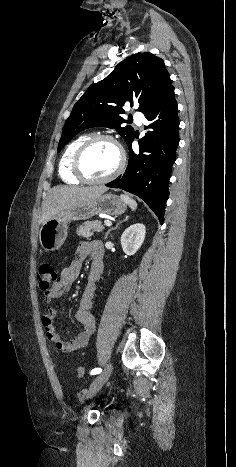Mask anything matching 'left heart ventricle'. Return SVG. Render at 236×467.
<instances>
[{"label": "left heart ventricle", "mask_w": 236, "mask_h": 467, "mask_svg": "<svg viewBox=\"0 0 236 467\" xmlns=\"http://www.w3.org/2000/svg\"><path fill=\"white\" fill-rule=\"evenodd\" d=\"M117 148L107 140L94 143L83 158V169L91 178H103L109 175L118 165Z\"/></svg>", "instance_id": "left-heart-ventricle-1"}]
</instances>
